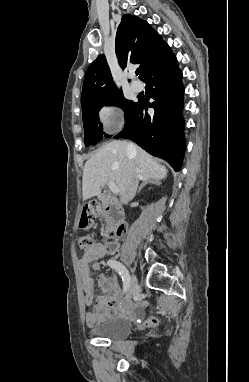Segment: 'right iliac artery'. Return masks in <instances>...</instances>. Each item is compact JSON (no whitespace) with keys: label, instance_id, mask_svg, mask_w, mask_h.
Here are the masks:
<instances>
[{"label":"right iliac artery","instance_id":"right-iliac-artery-1","mask_svg":"<svg viewBox=\"0 0 249 382\" xmlns=\"http://www.w3.org/2000/svg\"><path fill=\"white\" fill-rule=\"evenodd\" d=\"M107 264L120 274L123 281V292H126L130 285V275L125 266L114 259L108 260Z\"/></svg>","mask_w":249,"mask_h":382}]
</instances>
